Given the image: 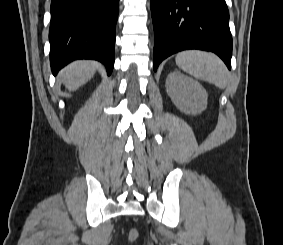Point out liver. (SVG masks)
<instances>
[{"mask_svg":"<svg viewBox=\"0 0 283 245\" xmlns=\"http://www.w3.org/2000/svg\"><path fill=\"white\" fill-rule=\"evenodd\" d=\"M97 66L93 61H75L60 72V78L69 91H75L93 77Z\"/></svg>","mask_w":283,"mask_h":245,"instance_id":"liver-1","label":"liver"}]
</instances>
